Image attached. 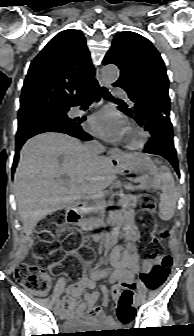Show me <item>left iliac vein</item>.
Returning <instances> with one entry per match:
<instances>
[{
	"label": "left iliac vein",
	"mask_w": 194,
	"mask_h": 336,
	"mask_svg": "<svg viewBox=\"0 0 194 336\" xmlns=\"http://www.w3.org/2000/svg\"><path fill=\"white\" fill-rule=\"evenodd\" d=\"M138 305H139V303L136 301L135 306H138Z\"/></svg>",
	"instance_id": "4c4485c4"
}]
</instances>
